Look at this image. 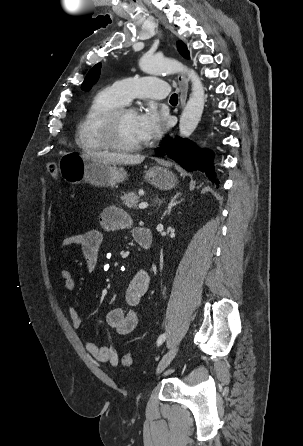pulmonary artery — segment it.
Wrapping results in <instances>:
<instances>
[{"label":"pulmonary artery","mask_w":303,"mask_h":446,"mask_svg":"<svg viewBox=\"0 0 303 446\" xmlns=\"http://www.w3.org/2000/svg\"><path fill=\"white\" fill-rule=\"evenodd\" d=\"M118 95L129 102L133 98L164 99L168 94V84L156 77H129L113 84Z\"/></svg>","instance_id":"obj_1"}]
</instances>
